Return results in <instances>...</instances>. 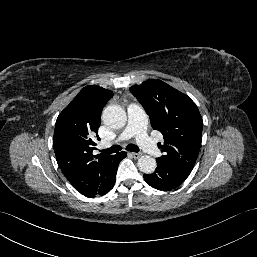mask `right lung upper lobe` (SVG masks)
<instances>
[{
    "label": "right lung upper lobe",
    "mask_w": 257,
    "mask_h": 257,
    "mask_svg": "<svg viewBox=\"0 0 257 257\" xmlns=\"http://www.w3.org/2000/svg\"><path fill=\"white\" fill-rule=\"evenodd\" d=\"M113 92L96 85L84 87L59 114L53 147L57 163L71 185L86 197L93 196L105 181L114 155L92 154L101 123V111Z\"/></svg>",
    "instance_id": "cb5924a9"
}]
</instances>
